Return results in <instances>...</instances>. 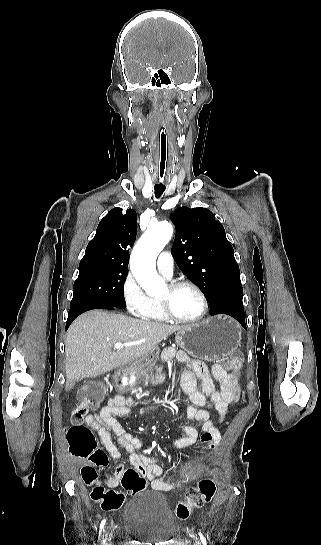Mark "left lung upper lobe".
<instances>
[{
	"instance_id": "obj_1",
	"label": "left lung upper lobe",
	"mask_w": 321,
	"mask_h": 545,
	"mask_svg": "<svg viewBox=\"0 0 321 545\" xmlns=\"http://www.w3.org/2000/svg\"><path fill=\"white\" fill-rule=\"evenodd\" d=\"M207 208L179 207L171 215L176 226L173 256L181 271L212 301L221 291L241 285L234 250L223 225Z\"/></svg>"
}]
</instances>
